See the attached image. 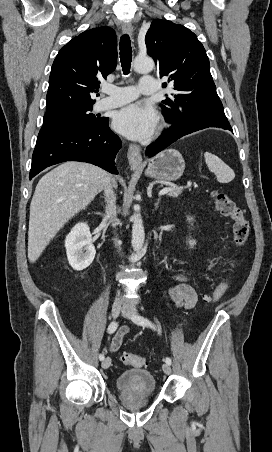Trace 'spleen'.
Wrapping results in <instances>:
<instances>
[{"label": "spleen", "instance_id": "3e777b00", "mask_svg": "<svg viewBox=\"0 0 272 452\" xmlns=\"http://www.w3.org/2000/svg\"><path fill=\"white\" fill-rule=\"evenodd\" d=\"M204 157L209 170L216 175L220 183H229L235 178L234 171L219 157L209 152H205Z\"/></svg>", "mask_w": 272, "mask_h": 452}]
</instances>
